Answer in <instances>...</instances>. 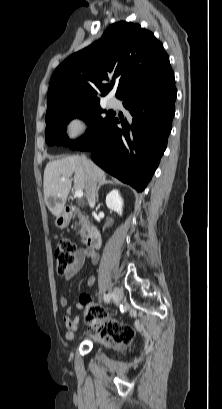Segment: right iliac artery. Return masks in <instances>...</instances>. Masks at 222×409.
Returning <instances> with one entry per match:
<instances>
[{"label":"right iliac artery","mask_w":222,"mask_h":409,"mask_svg":"<svg viewBox=\"0 0 222 409\" xmlns=\"http://www.w3.org/2000/svg\"><path fill=\"white\" fill-rule=\"evenodd\" d=\"M112 296H113L112 293H108V294L104 295V301H105L106 303H109L110 300H111V298H112Z\"/></svg>","instance_id":"1"}]
</instances>
